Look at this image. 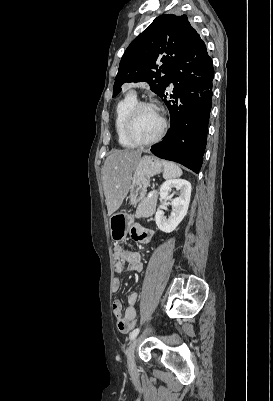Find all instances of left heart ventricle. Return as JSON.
Segmentation results:
<instances>
[{"instance_id":"left-heart-ventricle-1","label":"left heart ventricle","mask_w":273,"mask_h":401,"mask_svg":"<svg viewBox=\"0 0 273 401\" xmlns=\"http://www.w3.org/2000/svg\"><path fill=\"white\" fill-rule=\"evenodd\" d=\"M162 118L158 111L151 108H141L133 121L132 133L141 140L155 137L161 130Z\"/></svg>"}]
</instances>
